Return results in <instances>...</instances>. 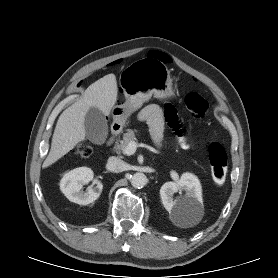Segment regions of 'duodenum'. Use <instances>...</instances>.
<instances>
[{"label": "duodenum", "mask_w": 278, "mask_h": 278, "mask_svg": "<svg viewBox=\"0 0 278 278\" xmlns=\"http://www.w3.org/2000/svg\"><path fill=\"white\" fill-rule=\"evenodd\" d=\"M120 131H121L120 125L114 124L113 127H112V130H111L110 137H109V139L107 141L108 145H111L114 142L115 138L118 136Z\"/></svg>", "instance_id": "duodenum-1"}]
</instances>
